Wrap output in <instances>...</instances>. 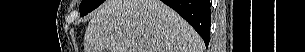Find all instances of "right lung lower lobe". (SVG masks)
<instances>
[{
  "mask_svg": "<svg viewBox=\"0 0 305 52\" xmlns=\"http://www.w3.org/2000/svg\"><path fill=\"white\" fill-rule=\"evenodd\" d=\"M179 13L203 38L206 46L210 40V0H161Z\"/></svg>",
  "mask_w": 305,
  "mask_h": 52,
  "instance_id": "right-lung-lower-lobe-1",
  "label": "right lung lower lobe"
}]
</instances>
